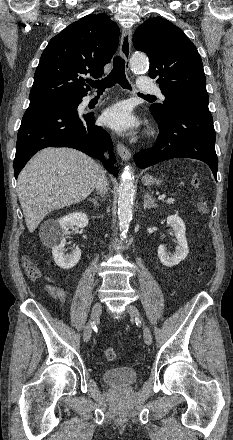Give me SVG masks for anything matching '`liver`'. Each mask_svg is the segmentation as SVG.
I'll use <instances>...</instances> for the list:
<instances>
[{"mask_svg":"<svg viewBox=\"0 0 233 440\" xmlns=\"http://www.w3.org/2000/svg\"><path fill=\"white\" fill-rule=\"evenodd\" d=\"M101 167L86 154L71 148H45L20 172L17 194L30 233L50 212L88 197Z\"/></svg>","mask_w":233,"mask_h":440,"instance_id":"1","label":"liver"}]
</instances>
